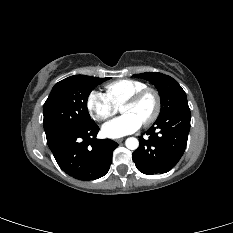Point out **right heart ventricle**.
Returning a JSON list of instances; mask_svg holds the SVG:
<instances>
[{
  "label": "right heart ventricle",
  "mask_w": 233,
  "mask_h": 233,
  "mask_svg": "<svg viewBox=\"0 0 233 233\" xmlns=\"http://www.w3.org/2000/svg\"><path fill=\"white\" fill-rule=\"evenodd\" d=\"M146 87L147 85L139 80L121 79L107 84L105 95L116 107H120L131 95Z\"/></svg>",
  "instance_id": "right-heart-ventricle-1"
}]
</instances>
